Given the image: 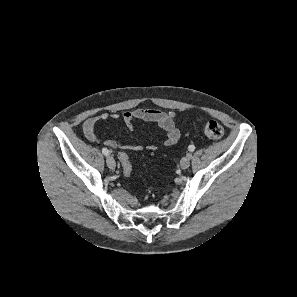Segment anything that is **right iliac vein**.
<instances>
[{
    "label": "right iliac vein",
    "instance_id": "1",
    "mask_svg": "<svg viewBox=\"0 0 297 297\" xmlns=\"http://www.w3.org/2000/svg\"><path fill=\"white\" fill-rule=\"evenodd\" d=\"M106 163H107V166H108L110 169H115V167H116V162H115V160H114V158H113L112 156H108V157H107Z\"/></svg>",
    "mask_w": 297,
    "mask_h": 297
}]
</instances>
